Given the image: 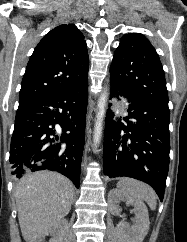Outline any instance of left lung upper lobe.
<instances>
[{"mask_svg":"<svg viewBox=\"0 0 187 242\" xmlns=\"http://www.w3.org/2000/svg\"><path fill=\"white\" fill-rule=\"evenodd\" d=\"M110 80L137 97L168 108V92L159 56L139 33L124 35L110 66Z\"/></svg>","mask_w":187,"mask_h":242,"instance_id":"left-lung-upper-lobe-1","label":"left lung upper lobe"}]
</instances>
